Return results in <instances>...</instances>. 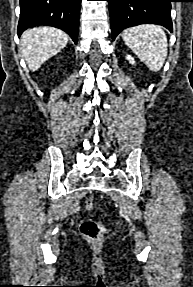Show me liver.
<instances>
[{"instance_id": "6515ba94", "label": "liver", "mask_w": 193, "mask_h": 287, "mask_svg": "<svg viewBox=\"0 0 193 287\" xmlns=\"http://www.w3.org/2000/svg\"><path fill=\"white\" fill-rule=\"evenodd\" d=\"M69 36L53 27H36L26 30L21 36L23 57L31 71L38 70L43 63L59 53Z\"/></svg>"}]
</instances>
